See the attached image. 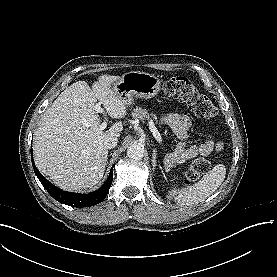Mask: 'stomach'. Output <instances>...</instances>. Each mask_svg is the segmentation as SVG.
Instances as JSON below:
<instances>
[{"label":"stomach","mask_w":277,"mask_h":277,"mask_svg":"<svg viewBox=\"0 0 277 277\" xmlns=\"http://www.w3.org/2000/svg\"><path fill=\"white\" fill-rule=\"evenodd\" d=\"M161 80L158 76L146 72L130 71L124 73L113 84L116 95L129 106L133 97L149 99L160 92Z\"/></svg>","instance_id":"0dacf381"}]
</instances>
